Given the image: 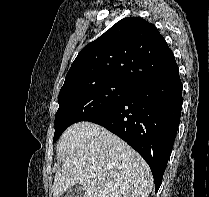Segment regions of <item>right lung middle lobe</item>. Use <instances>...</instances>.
I'll return each instance as SVG.
<instances>
[{
	"mask_svg": "<svg viewBox=\"0 0 209 197\" xmlns=\"http://www.w3.org/2000/svg\"><path fill=\"white\" fill-rule=\"evenodd\" d=\"M135 87L121 81H86L61 88L55 115V142L63 131L125 98Z\"/></svg>",
	"mask_w": 209,
	"mask_h": 197,
	"instance_id": "obj_1",
	"label": "right lung middle lobe"
}]
</instances>
